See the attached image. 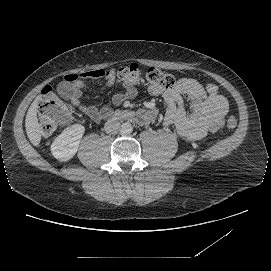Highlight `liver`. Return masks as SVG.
Masks as SVG:
<instances>
[{"instance_id": "6515ba94", "label": "liver", "mask_w": 271, "mask_h": 271, "mask_svg": "<svg viewBox=\"0 0 271 271\" xmlns=\"http://www.w3.org/2000/svg\"><path fill=\"white\" fill-rule=\"evenodd\" d=\"M37 99L31 104L28 109L25 126L27 135L34 146H37L41 140V127L37 119Z\"/></svg>"}]
</instances>
